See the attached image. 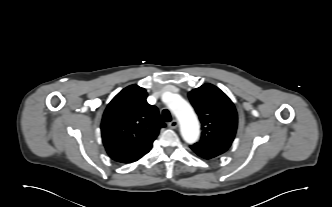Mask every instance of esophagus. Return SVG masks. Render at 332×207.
<instances>
[{"label": "esophagus", "instance_id": "34e87169", "mask_svg": "<svg viewBox=\"0 0 332 207\" xmlns=\"http://www.w3.org/2000/svg\"><path fill=\"white\" fill-rule=\"evenodd\" d=\"M168 126H169L171 129H175V128L178 127V121L174 119V120H172V121L168 124Z\"/></svg>", "mask_w": 332, "mask_h": 207}]
</instances>
